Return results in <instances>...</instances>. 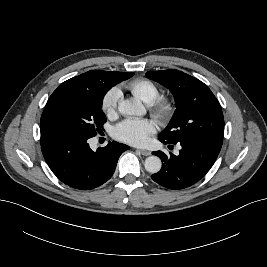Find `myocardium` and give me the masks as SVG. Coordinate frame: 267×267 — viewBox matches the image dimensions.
Returning <instances> with one entry per match:
<instances>
[{
    "label": "myocardium",
    "instance_id": "obj_1",
    "mask_svg": "<svg viewBox=\"0 0 267 267\" xmlns=\"http://www.w3.org/2000/svg\"><path fill=\"white\" fill-rule=\"evenodd\" d=\"M149 111L160 124H167L173 118L176 105L168 96H159L148 104Z\"/></svg>",
    "mask_w": 267,
    "mask_h": 267
}]
</instances>
